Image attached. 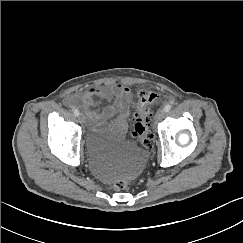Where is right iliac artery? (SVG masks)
<instances>
[{
    "label": "right iliac artery",
    "mask_w": 243,
    "mask_h": 243,
    "mask_svg": "<svg viewBox=\"0 0 243 243\" xmlns=\"http://www.w3.org/2000/svg\"><path fill=\"white\" fill-rule=\"evenodd\" d=\"M73 112H74V115H75V116H79V111H78L77 109H74Z\"/></svg>",
    "instance_id": "82829eb1"
}]
</instances>
